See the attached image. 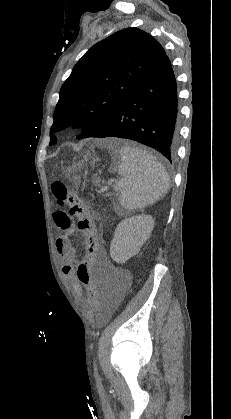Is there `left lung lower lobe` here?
<instances>
[{
    "label": "left lung lower lobe",
    "instance_id": "obj_1",
    "mask_svg": "<svg viewBox=\"0 0 231 419\" xmlns=\"http://www.w3.org/2000/svg\"><path fill=\"white\" fill-rule=\"evenodd\" d=\"M111 136L152 147L172 163L178 109L176 80L167 56L132 88L107 125L92 137Z\"/></svg>",
    "mask_w": 231,
    "mask_h": 419
}]
</instances>
